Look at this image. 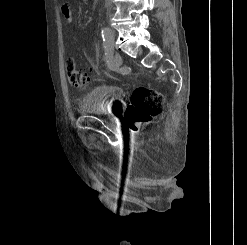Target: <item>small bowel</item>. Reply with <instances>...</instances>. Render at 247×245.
<instances>
[{
    "label": "small bowel",
    "instance_id": "obj_1",
    "mask_svg": "<svg viewBox=\"0 0 247 245\" xmlns=\"http://www.w3.org/2000/svg\"><path fill=\"white\" fill-rule=\"evenodd\" d=\"M62 13L64 14V16L68 22L72 21V13H71L70 7L68 5L62 6Z\"/></svg>",
    "mask_w": 247,
    "mask_h": 245
}]
</instances>
